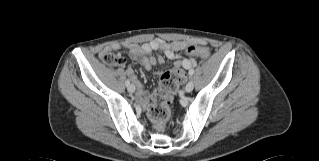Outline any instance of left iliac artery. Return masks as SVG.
I'll list each match as a JSON object with an SVG mask.
<instances>
[{
  "label": "left iliac artery",
  "mask_w": 319,
  "mask_h": 161,
  "mask_svg": "<svg viewBox=\"0 0 319 161\" xmlns=\"http://www.w3.org/2000/svg\"><path fill=\"white\" fill-rule=\"evenodd\" d=\"M194 72H195L194 69H190L189 72H188V74H189L190 76H193Z\"/></svg>",
  "instance_id": "left-iliac-artery-1"
}]
</instances>
